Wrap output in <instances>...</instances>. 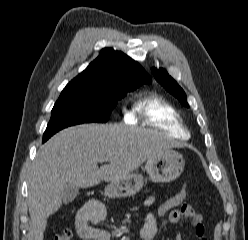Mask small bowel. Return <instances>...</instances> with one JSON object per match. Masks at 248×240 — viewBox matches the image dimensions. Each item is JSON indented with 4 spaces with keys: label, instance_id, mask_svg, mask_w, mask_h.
<instances>
[{
    "label": "small bowel",
    "instance_id": "c3829d8e",
    "mask_svg": "<svg viewBox=\"0 0 248 240\" xmlns=\"http://www.w3.org/2000/svg\"><path fill=\"white\" fill-rule=\"evenodd\" d=\"M144 206L150 207L155 200L153 193L146 189ZM106 216V208L98 200L88 201L79 209L75 219V229L77 236L82 240H111L112 236L109 231L98 228L101 221ZM184 219H190L194 227L196 236L200 240H208L205 235V225L203 216L198 213L190 204H183L179 208L170 211L162 217L159 223L154 213L148 212L145 215V221L139 230L140 240H155L160 230L167 224H177ZM174 240H183L181 234H176Z\"/></svg>",
    "mask_w": 248,
    "mask_h": 240
}]
</instances>
